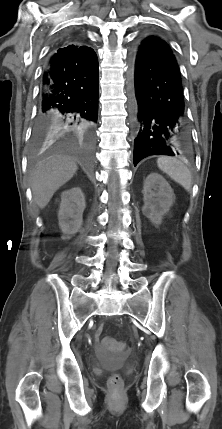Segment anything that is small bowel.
Wrapping results in <instances>:
<instances>
[{"label":"small bowel","instance_id":"small-bowel-1","mask_svg":"<svg viewBox=\"0 0 222 429\" xmlns=\"http://www.w3.org/2000/svg\"><path fill=\"white\" fill-rule=\"evenodd\" d=\"M97 350H98V353L100 354L101 357H103V358L108 357V348L105 347L104 345L98 344Z\"/></svg>","mask_w":222,"mask_h":429}]
</instances>
